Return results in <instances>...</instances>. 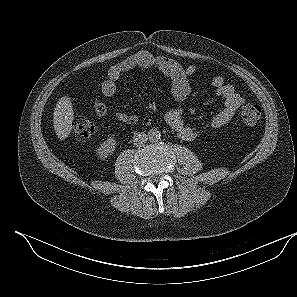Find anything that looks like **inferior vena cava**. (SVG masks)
Returning <instances> with one entry per match:
<instances>
[{"instance_id": "obj_1", "label": "inferior vena cava", "mask_w": 297, "mask_h": 297, "mask_svg": "<svg viewBox=\"0 0 297 297\" xmlns=\"http://www.w3.org/2000/svg\"><path fill=\"white\" fill-rule=\"evenodd\" d=\"M148 140V135L144 132L134 133L133 144L137 147L143 146Z\"/></svg>"}]
</instances>
